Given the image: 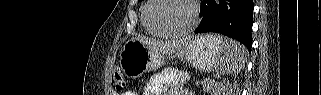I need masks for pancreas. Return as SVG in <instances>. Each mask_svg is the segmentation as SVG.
I'll list each match as a JSON object with an SVG mask.
<instances>
[{"instance_id": "obj_1", "label": "pancreas", "mask_w": 321, "mask_h": 95, "mask_svg": "<svg viewBox=\"0 0 321 95\" xmlns=\"http://www.w3.org/2000/svg\"><path fill=\"white\" fill-rule=\"evenodd\" d=\"M199 84V82H197V85ZM200 84L202 85V88L204 91L210 92L211 90L213 92H217V90L221 87H223V85L221 84H217L216 82H214L213 80L210 79H204L200 82Z\"/></svg>"}]
</instances>
